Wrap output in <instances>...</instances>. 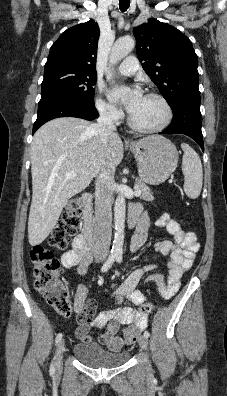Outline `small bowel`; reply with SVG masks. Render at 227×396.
I'll list each match as a JSON object with an SVG mask.
<instances>
[{
    "label": "small bowel",
    "instance_id": "obj_1",
    "mask_svg": "<svg viewBox=\"0 0 227 396\" xmlns=\"http://www.w3.org/2000/svg\"><path fill=\"white\" fill-rule=\"evenodd\" d=\"M131 214L136 216L137 226L131 242V250L139 251L147 242L151 219L147 214H141L139 207H133ZM157 227L165 229L173 237L171 240H162L155 243L157 253L168 256L169 272L166 276L154 273L147 277L148 283L156 285L158 293L165 298L172 297L179 289L181 278L188 271L200 249V244L194 232L183 230L180 224L164 213L156 222ZM92 261V254L84 243L82 237L77 236L72 243V248L61 256V263L65 268L77 267L80 275H84ZM155 262H150L141 268L132 271L114 290L113 296L119 303L130 301L135 306H141L146 301L143 292L137 285L143 275L155 267ZM88 287L80 285L74 297V310L79 313L76 337L83 342H91L94 336L91 328L106 331L97 337L100 344L112 351H120L125 345L133 343L139 333L147 327L148 316L132 306L118 307L105 310L96 314L97 303L90 300L86 304ZM132 325L122 330L124 325Z\"/></svg>",
    "mask_w": 227,
    "mask_h": 396
}]
</instances>
